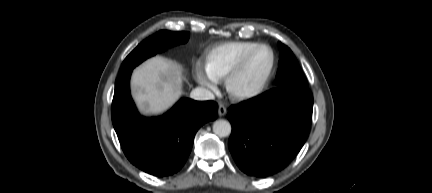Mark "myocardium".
Returning a JSON list of instances; mask_svg holds the SVG:
<instances>
[{"mask_svg": "<svg viewBox=\"0 0 432 193\" xmlns=\"http://www.w3.org/2000/svg\"><path fill=\"white\" fill-rule=\"evenodd\" d=\"M266 48L271 52L272 55V62L270 69L264 78V80L255 88L249 89V90H241L236 86V80L238 76L242 73V71L245 69L251 58L261 49ZM277 59L276 54L273 48L267 44H259L252 50H250L237 64L236 66L228 73V75L225 78V86L226 89L230 95V97L238 102L241 101H247L250 99H253L260 94H262L267 87L269 86L271 79L274 75L275 69H276Z\"/></svg>", "mask_w": 432, "mask_h": 193, "instance_id": "f54148a6", "label": "myocardium"}]
</instances>
